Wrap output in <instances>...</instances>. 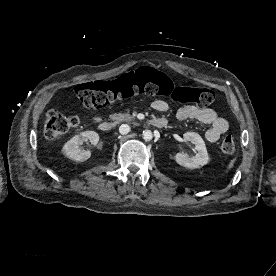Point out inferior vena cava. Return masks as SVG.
<instances>
[{"instance_id": "602c4592", "label": "inferior vena cava", "mask_w": 276, "mask_h": 276, "mask_svg": "<svg viewBox=\"0 0 276 276\" xmlns=\"http://www.w3.org/2000/svg\"><path fill=\"white\" fill-rule=\"evenodd\" d=\"M129 131H130V126L127 125V124H122V125L119 127V132H120L121 134H127Z\"/></svg>"}]
</instances>
